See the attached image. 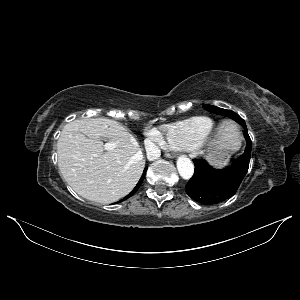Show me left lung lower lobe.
<instances>
[{"mask_svg": "<svg viewBox=\"0 0 300 300\" xmlns=\"http://www.w3.org/2000/svg\"><path fill=\"white\" fill-rule=\"evenodd\" d=\"M243 133L247 141L246 149L232 166L218 170L205 160H194V175L185 186L186 193L192 199L203 205H214L236 193L248 171L251 156V139L247 127Z\"/></svg>", "mask_w": 300, "mask_h": 300, "instance_id": "1", "label": "left lung lower lobe"}]
</instances>
